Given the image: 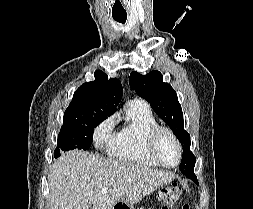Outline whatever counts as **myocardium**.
<instances>
[{"mask_svg": "<svg viewBox=\"0 0 253 209\" xmlns=\"http://www.w3.org/2000/svg\"><path fill=\"white\" fill-rule=\"evenodd\" d=\"M163 133H167L174 141L177 151H178V159L177 162L174 165H168L164 163L161 158L156 153V143L159 138V136ZM145 153L146 155L152 159L155 163H157L160 166H163L168 169L176 168L182 159V146L181 143L177 137V135L174 133L172 129L166 126H156L153 129H151L146 137L145 140Z\"/></svg>", "mask_w": 253, "mask_h": 209, "instance_id": "f54148a6", "label": "myocardium"}]
</instances>
